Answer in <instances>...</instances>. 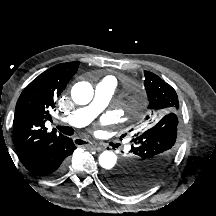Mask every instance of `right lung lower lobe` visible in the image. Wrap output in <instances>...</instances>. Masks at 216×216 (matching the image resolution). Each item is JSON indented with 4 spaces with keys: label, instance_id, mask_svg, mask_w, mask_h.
<instances>
[{
    "label": "right lung lower lobe",
    "instance_id": "obj_1",
    "mask_svg": "<svg viewBox=\"0 0 216 216\" xmlns=\"http://www.w3.org/2000/svg\"><path fill=\"white\" fill-rule=\"evenodd\" d=\"M76 149L73 141L68 137H63L42 151L29 164L24 165L31 173L50 177L60 172L66 164L67 157Z\"/></svg>",
    "mask_w": 216,
    "mask_h": 216
}]
</instances>
